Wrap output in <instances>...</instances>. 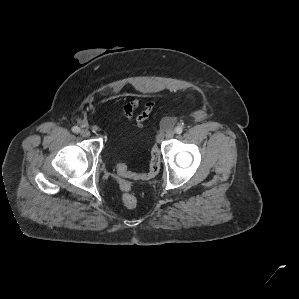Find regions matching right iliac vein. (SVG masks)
<instances>
[{
    "mask_svg": "<svg viewBox=\"0 0 299 299\" xmlns=\"http://www.w3.org/2000/svg\"><path fill=\"white\" fill-rule=\"evenodd\" d=\"M81 136L83 137H89L90 136V131L87 129H83L80 131Z\"/></svg>",
    "mask_w": 299,
    "mask_h": 299,
    "instance_id": "right-iliac-vein-1",
    "label": "right iliac vein"
}]
</instances>
